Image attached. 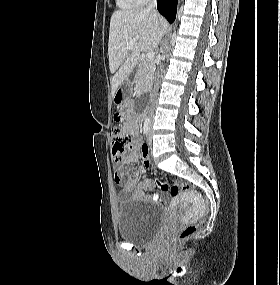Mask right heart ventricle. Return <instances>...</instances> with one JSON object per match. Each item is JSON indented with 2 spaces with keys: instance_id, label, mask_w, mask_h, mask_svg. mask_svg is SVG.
Returning <instances> with one entry per match:
<instances>
[{
  "instance_id": "e07e8e85",
  "label": "right heart ventricle",
  "mask_w": 280,
  "mask_h": 285,
  "mask_svg": "<svg viewBox=\"0 0 280 285\" xmlns=\"http://www.w3.org/2000/svg\"><path fill=\"white\" fill-rule=\"evenodd\" d=\"M147 0H116L117 5L124 9L130 10L143 5Z\"/></svg>"
}]
</instances>
